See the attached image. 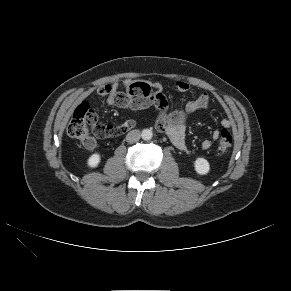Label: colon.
<instances>
[{
  "label": "colon",
  "instance_id": "colon-1",
  "mask_svg": "<svg viewBox=\"0 0 291 291\" xmlns=\"http://www.w3.org/2000/svg\"><path fill=\"white\" fill-rule=\"evenodd\" d=\"M134 126L132 120H128L118 126H105L97 123L96 113L89 107L88 103H81L74 111L69 122L67 132L74 139L82 142L86 147L93 145L96 138H109L118 136ZM232 145V135L229 131L223 130L218 138L216 151L219 155L226 153Z\"/></svg>",
  "mask_w": 291,
  "mask_h": 291
}]
</instances>
